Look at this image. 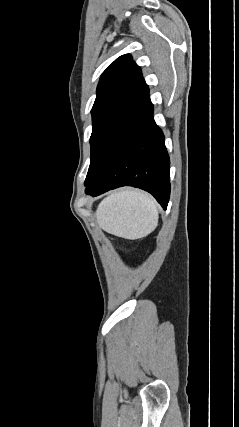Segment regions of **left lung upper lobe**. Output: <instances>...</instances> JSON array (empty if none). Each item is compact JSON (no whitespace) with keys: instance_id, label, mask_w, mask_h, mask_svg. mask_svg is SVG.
<instances>
[{"instance_id":"5c2ea615","label":"left lung upper lobe","mask_w":239,"mask_h":427,"mask_svg":"<svg viewBox=\"0 0 239 427\" xmlns=\"http://www.w3.org/2000/svg\"><path fill=\"white\" fill-rule=\"evenodd\" d=\"M149 99L140 67L133 62L129 54L117 58L101 75L97 96L92 107L91 162L85 180L96 165L104 149L118 130Z\"/></svg>"}]
</instances>
